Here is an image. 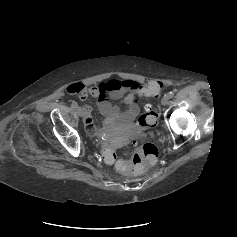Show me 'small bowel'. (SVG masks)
<instances>
[{
	"instance_id": "obj_1",
	"label": "small bowel",
	"mask_w": 237,
	"mask_h": 237,
	"mask_svg": "<svg viewBox=\"0 0 237 237\" xmlns=\"http://www.w3.org/2000/svg\"><path fill=\"white\" fill-rule=\"evenodd\" d=\"M67 92L77 95L81 100L92 97L104 116V122L98 126L92 117L89 106L84 108V124L88 133L104 135L114 124L130 123L139 113L143 97L148 96L145 86L135 80H110L98 85L73 83ZM108 98L121 99L122 106L112 105Z\"/></svg>"
}]
</instances>
